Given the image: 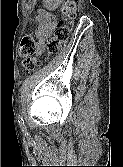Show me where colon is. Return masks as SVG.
Here are the masks:
<instances>
[{"instance_id":"5ec220e1","label":"colon","mask_w":123,"mask_h":167,"mask_svg":"<svg viewBox=\"0 0 123 167\" xmlns=\"http://www.w3.org/2000/svg\"><path fill=\"white\" fill-rule=\"evenodd\" d=\"M76 14V0H65L61 6V19L54 35L48 40V51L55 53L69 40L73 18ZM34 38L32 35H24L20 42L19 54L23 58V69L26 73L34 71L38 64L34 56Z\"/></svg>"}]
</instances>
